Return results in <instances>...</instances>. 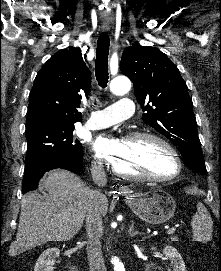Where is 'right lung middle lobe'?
I'll return each instance as SVG.
<instances>
[{"instance_id":"obj_1","label":"right lung middle lobe","mask_w":221,"mask_h":271,"mask_svg":"<svg viewBox=\"0 0 221 271\" xmlns=\"http://www.w3.org/2000/svg\"><path fill=\"white\" fill-rule=\"evenodd\" d=\"M74 126L46 125L26 131L25 165L52 159H69L83 152L73 139Z\"/></svg>"}]
</instances>
